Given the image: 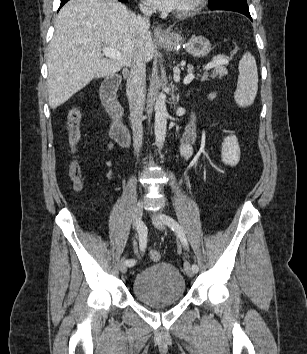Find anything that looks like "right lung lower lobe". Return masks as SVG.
<instances>
[{
  "instance_id": "1",
  "label": "right lung lower lobe",
  "mask_w": 307,
  "mask_h": 354,
  "mask_svg": "<svg viewBox=\"0 0 307 354\" xmlns=\"http://www.w3.org/2000/svg\"><path fill=\"white\" fill-rule=\"evenodd\" d=\"M67 1H68V0H61V5H60V7H62ZM119 1L124 2V1H126V0H119Z\"/></svg>"
}]
</instances>
